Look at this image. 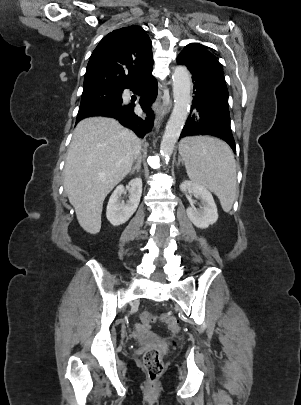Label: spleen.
Listing matches in <instances>:
<instances>
[{
    "mask_svg": "<svg viewBox=\"0 0 301 405\" xmlns=\"http://www.w3.org/2000/svg\"><path fill=\"white\" fill-rule=\"evenodd\" d=\"M179 154L185 162L189 178L214 192L223 210L230 211L237 179L236 163L229 146L212 137H186L180 142Z\"/></svg>",
    "mask_w": 301,
    "mask_h": 405,
    "instance_id": "spleen-1",
    "label": "spleen"
}]
</instances>
